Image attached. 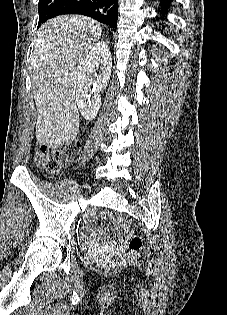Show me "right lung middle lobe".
<instances>
[{
    "instance_id": "1",
    "label": "right lung middle lobe",
    "mask_w": 227,
    "mask_h": 315,
    "mask_svg": "<svg viewBox=\"0 0 227 315\" xmlns=\"http://www.w3.org/2000/svg\"><path fill=\"white\" fill-rule=\"evenodd\" d=\"M62 0H39L38 3V13H39V23L38 27L42 23L50 19V11L55 8Z\"/></svg>"
}]
</instances>
